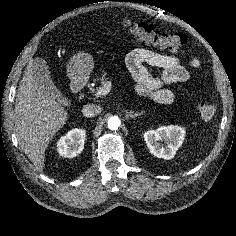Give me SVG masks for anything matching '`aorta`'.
I'll list each match as a JSON object with an SVG mask.
<instances>
[{
	"instance_id": "762f6f07",
	"label": "aorta",
	"mask_w": 236,
	"mask_h": 236,
	"mask_svg": "<svg viewBox=\"0 0 236 236\" xmlns=\"http://www.w3.org/2000/svg\"><path fill=\"white\" fill-rule=\"evenodd\" d=\"M120 124H121L120 119L117 116H112L108 120V128L110 130L118 129Z\"/></svg>"
}]
</instances>
